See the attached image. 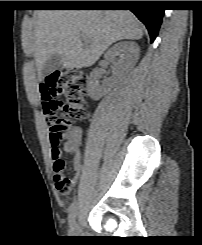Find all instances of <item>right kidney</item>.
Listing matches in <instances>:
<instances>
[{"label":"right kidney","instance_id":"obj_1","mask_svg":"<svg viewBox=\"0 0 202 245\" xmlns=\"http://www.w3.org/2000/svg\"><path fill=\"white\" fill-rule=\"evenodd\" d=\"M119 56V59L117 57ZM105 59L113 64L114 76L119 77L133 68L139 59V47L131 41H123L112 46L104 55ZM103 70L94 68L90 73L87 89L94 100H99L107 92V88L100 85L99 79Z\"/></svg>","mask_w":202,"mask_h":245}]
</instances>
